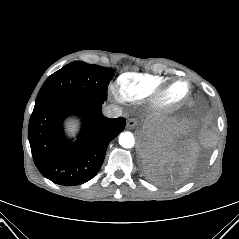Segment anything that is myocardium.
Wrapping results in <instances>:
<instances>
[{
	"label": "myocardium",
	"instance_id": "obj_1",
	"mask_svg": "<svg viewBox=\"0 0 239 239\" xmlns=\"http://www.w3.org/2000/svg\"><path fill=\"white\" fill-rule=\"evenodd\" d=\"M177 85H184L186 92L181 99L170 102L167 98L168 93ZM190 94L191 87L189 82L185 79H176L164 84L150 95L151 107L158 112L170 113L181 108L188 101Z\"/></svg>",
	"mask_w": 239,
	"mask_h": 239
}]
</instances>
